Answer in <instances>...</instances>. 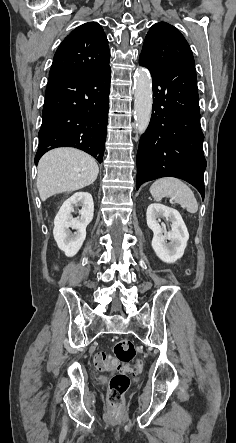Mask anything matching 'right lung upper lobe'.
Instances as JSON below:
<instances>
[{"instance_id":"right-lung-upper-lobe-1","label":"right lung upper lobe","mask_w":236,"mask_h":443,"mask_svg":"<svg viewBox=\"0 0 236 443\" xmlns=\"http://www.w3.org/2000/svg\"><path fill=\"white\" fill-rule=\"evenodd\" d=\"M108 40L97 22L85 23L74 29L60 44L50 69L59 73H98L109 66Z\"/></svg>"}]
</instances>
